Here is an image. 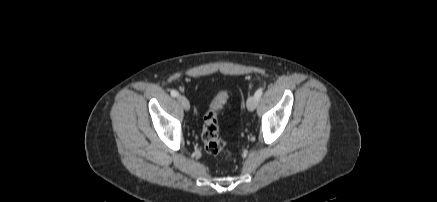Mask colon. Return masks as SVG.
I'll use <instances>...</instances> for the list:
<instances>
[{"label":"colon","instance_id":"5ec220e1","mask_svg":"<svg viewBox=\"0 0 437 202\" xmlns=\"http://www.w3.org/2000/svg\"><path fill=\"white\" fill-rule=\"evenodd\" d=\"M228 99V91L221 90L210 103L204 116L202 140L205 151L210 155H219L225 146L224 140L219 135L217 113Z\"/></svg>","mask_w":437,"mask_h":202}]
</instances>
